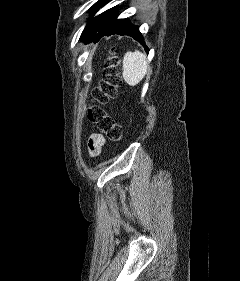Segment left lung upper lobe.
Wrapping results in <instances>:
<instances>
[{"instance_id": "5c2ea615", "label": "left lung upper lobe", "mask_w": 240, "mask_h": 281, "mask_svg": "<svg viewBox=\"0 0 240 281\" xmlns=\"http://www.w3.org/2000/svg\"><path fill=\"white\" fill-rule=\"evenodd\" d=\"M104 0H99L98 2H96L90 9L91 10H97L98 7L103 3Z\"/></svg>"}]
</instances>
